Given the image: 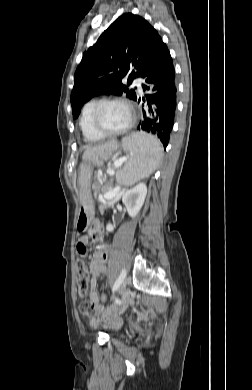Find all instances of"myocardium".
<instances>
[{"instance_id": "f54148a6", "label": "myocardium", "mask_w": 252, "mask_h": 390, "mask_svg": "<svg viewBox=\"0 0 252 390\" xmlns=\"http://www.w3.org/2000/svg\"><path fill=\"white\" fill-rule=\"evenodd\" d=\"M111 103H121V104L126 105L130 111V114H131V118H130L129 123L125 127L121 128L119 130H114V131L106 130L102 127L100 120H99V114H100L102 108L105 105L111 104ZM91 120H92L93 127L101 135H103L105 137H114V136L123 135V134L127 133L128 131H130L136 123L137 114H136V111L134 109L133 104L130 101H128L127 99H124V98L113 97V98H107V99L100 100L96 103V105L94 106L93 111H92Z\"/></svg>"}]
</instances>
